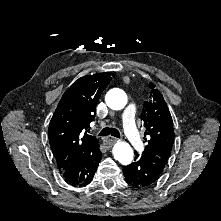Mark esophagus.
I'll use <instances>...</instances> for the list:
<instances>
[{
	"label": "esophagus",
	"instance_id": "esophagus-1",
	"mask_svg": "<svg viewBox=\"0 0 221 221\" xmlns=\"http://www.w3.org/2000/svg\"><path fill=\"white\" fill-rule=\"evenodd\" d=\"M117 141V139L116 138H113V137H111V136H108V137H106L105 138V141H104V144L106 145V146H112L113 145V143H115Z\"/></svg>",
	"mask_w": 221,
	"mask_h": 221
}]
</instances>
